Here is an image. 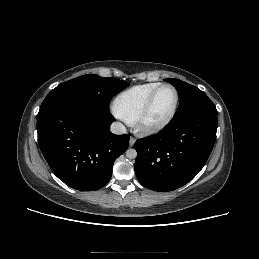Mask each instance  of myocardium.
I'll use <instances>...</instances> for the list:
<instances>
[{"label": "myocardium", "instance_id": "myocardium-1", "mask_svg": "<svg viewBox=\"0 0 259 259\" xmlns=\"http://www.w3.org/2000/svg\"><path fill=\"white\" fill-rule=\"evenodd\" d=\"M163 88H170L173 90V92L175 94V101H174L173 107H172L171 111L169 112V114L167 116H165L163 119H161L157 122H151L149 120V116L151 113V109H152L154 100H155L158 92ZM178 106H179V93H178L177 89L169 83L160 84L151 93L144 108L142 109L141 113L139 114V116L137 117V119L135 121L137 131L143 135H152V134L160 132L173 120V118L175 117L176 112L178 110Z\"/></svg>", "mask_w": 259, "mask_h": 259}]
</instances>
